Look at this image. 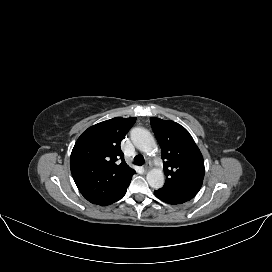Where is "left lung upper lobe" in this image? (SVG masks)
Listing matches in <instances>:
<instances>
[{
  "mask_svg": "<svg viewBox=\"0 0 272 272\" xmlns=\"http://www.w3.org/2000/svg\"><path fill=\"white\" fill-rule=\"evenodd\" d=\"M161 147L166 182L163 189L197 194L204 179V160L189 132L171 120L150 118Z\"/></svg>",
  "mask_w": 272,
  "mask_h": 272,
  "instance_id": "obj_1",
  "label": "left lung upper lobe"
}]
</instances>
